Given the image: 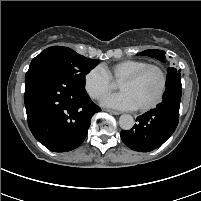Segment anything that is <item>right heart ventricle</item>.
<instances>
[{"label":"right heart ventricle","mask_w":201,"mask_h":201,"mask_svg":"<svg viewBox=\"0 0 201 201\" xmlns=\"http://www.w3.org/2000/svg\"><path fill=\"white\" fill-rule=\"evenodd\" d=\"M148 63L142 60H123L111 66L103 65L102 67L108 73L110 78L120 82L124 77L146 66Z\"/></svg>","instance_id":"e07e8e85"}]
</instances>
